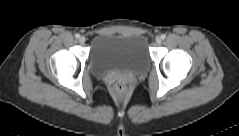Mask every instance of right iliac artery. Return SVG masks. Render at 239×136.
<instances>
[{
  "label": "right iliac artery",
  "instance_id": "right-iliac-artery-1",
  "mask_svg": "<svg viewBox=\"0 0 239 136\" xmlns=\"http://www.w3.org/2000/svg\"><path fill=\"white\" fill-rule=\"evenodd\" d=\"M75 37L78 39L80 37V34H75Z\"/></svg>",
  "mask_w": 239,
  "mask_h": 136
}]
</instances>
